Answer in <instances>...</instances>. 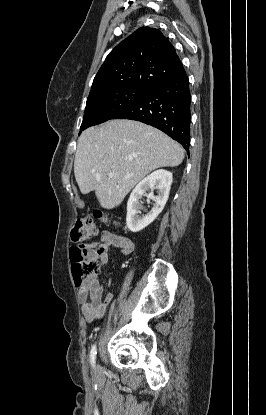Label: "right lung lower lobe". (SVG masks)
Masks as SVG:
<instances>
[{
    "label": "right lung lower lobe",
    "instance_id": "1",
    "mask_svg": "<svg viewBox=\"0 0 266 415\" xmlns=\"http://www.w3.org/2000/svg\"><path fill=\"white\" fill-rule=\"evenodd\" d=\"M191 94L185 70L154 85L140 101L111 119H131L146 123L178 141L189 154Z\"/></svg>",
    "mask_w": 266,
    "mask_h": 415
}]
</instances>
